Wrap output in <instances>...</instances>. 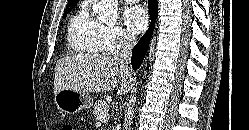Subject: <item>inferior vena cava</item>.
Returning <instances> with one entry per match:
<instances>
[{
  "label": "inferior vena cava",
  "mask_w": 249,
  "mask_h": 130,
  "mask_svg": "<svg viewBox=\"0 0 249 130\" xmlns=\"http://www.w3.org/2000/svg\"><path fill=\"white\" fill-rule=\"evenodd\" d=\"M135 44H136V40L133 36H130V35L125 36L123 43L121 45L120 53L116 57L117 61L123 66H125L126 68L130 63L131 51L133 47L135 46Z\"/></svg>",
  "instance_id": "1"
}]
</instances>
